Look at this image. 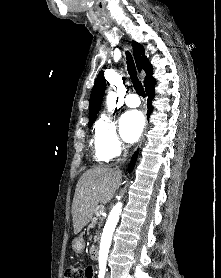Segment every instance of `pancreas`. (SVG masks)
<instances>
[{"label": "pancreas", "mask_w": 221, "mask_h": 278, "mask_svg": "<svg viewBox=\"0 0 221 278\" xmlns=\"http://www.w3.org/2000/svg\"><path fill=\"white\" fill-rule=\"evenodd\" d=\"M95 215L98 216V210L95 211ZM97 226L103 227L104 223L100 222V220L95 217V218H93V221L90 222V227H97Z\"/></svg>", "instance_id": "1"}]
</instances>
